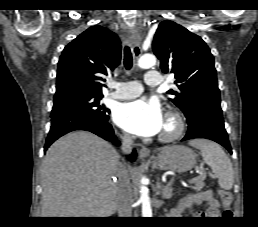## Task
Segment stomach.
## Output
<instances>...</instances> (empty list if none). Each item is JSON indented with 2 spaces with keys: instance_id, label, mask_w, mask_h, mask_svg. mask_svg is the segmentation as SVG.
<instances>
[{
  "instance_id": "obj_1",
  "label": "stomach",
  "mask_w": 258,
  "mask_h": 227,
  "mask_svg": "<svg viewBox=\"0 0 258 227\" xmlns=\"http://www.w3.org/2000/svg\"><path fill=\"white\" fill-rule=\"evenodd\" d=\"M197 163L196 153L182 145H174L163 148L153 162V166L159 170H172L185 172L192 169Z\"/></svg>"
}]
</instances>
